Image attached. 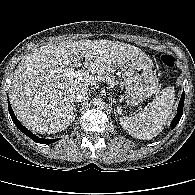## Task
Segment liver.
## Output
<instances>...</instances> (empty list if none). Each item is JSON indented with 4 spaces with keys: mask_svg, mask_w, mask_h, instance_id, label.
<instances>
[{
    "mask_svg": "<svg viewBox=\"0 0 195 195\" xmlns=\"http://www.w3.org/2000/svg\"><path fill=\"white\" fill-rule=\"evenodd\" d=\"M144 55L133 45L110 40H69L41 46L17 66L9 95L11 105L27 128L40 134L57 133L74 120L72 92L91 84L65 72L81 66L78 58H85L84 66L98 82L101 75Z\"/></svg>",
    "mask_w": 195,
    "mask_h": 195,
    "instance_id": "1",
    "label": "liver"
}]
</instances>
